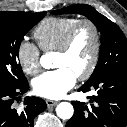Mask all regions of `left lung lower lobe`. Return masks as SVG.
Returning a JSON list of instances; mask_svg holds the SVG:
<instances>
[{"mask_svg": "<svg viewBox=\"0 0 127 127\" xmlns=\"http://www.w3.org/2000/svg\"><path fill=\"white\" fill-rule=\"evenodd\" d=\"M90 90L96 91L88 97L91 105L73 101L74 115L66 127H126L127 70L107 72L79 89Z\"/></svg>", "mask_w": 127, "mask_h": 127, "instance_id": "left-lung-lower-lobe-1", "label": "left lung lower lobe"}]
</instances>
